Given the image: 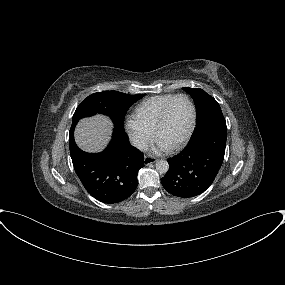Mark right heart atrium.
I'll return each mask as SVG.
<instances>
[{
	"mask_svg": "<svg viewBox=\"0 0 285 285\" xmlns=\"http://www.w3.org/2000/svg\"><path fill=\"white\" fill-rule=\"evenodd\" d=\"M125 130L133 145L139 150L146 149L153 137V130L141 124L133 116L126 119Z\"/></svg>",
	"mask_w": 285,
	"mask_h": 285,
	"instance_id": "obj_1",
	"label": "right heart atrium"
}]
</instances>
